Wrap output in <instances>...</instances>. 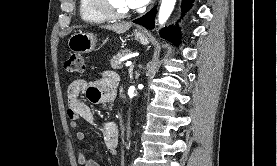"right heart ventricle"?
I'll return each instance as SVG.
<instances>
[{"mask_svg": "<svg viewBox=\"0 0 277 166\" xmlns=\"http://www.w3.org/2000/svg\"><path fill=\"white\" fill-rule=\"evenodd\" d=\"M79 12L81 18L89 23L100 24L104 23L107 19L97 12L93 11L88 5L87 0H79Z\"/></svg>", "mask_w": 277, "mask_h": 166, "instance_id": "right-heart-ventricle-1", "label": "right heart ventricle"}]
</instances>
